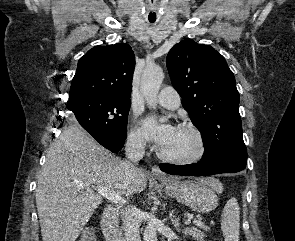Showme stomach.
<instances>
[{
	"instance_id": "stomach-1",
	"label": "stomach",
	"mask_w": 295,
	"mask_h": 241,
	"mask_svg": "<svg viewBox=\"0 0 295 241\" xmlns=\"http://www.w3.org/2000/svg\"><path fill=\"white\" fill-rule=\"evenodd\" d=\"M168 196L197 212H210L218 205L216 193L223 190L220 182L213 185L201 181L179 180L162 181Z\"/></svg>"
}]
</instances>
